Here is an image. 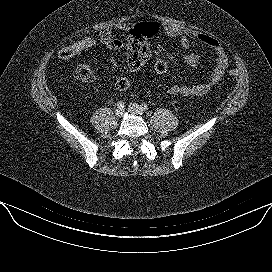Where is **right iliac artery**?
Wrapping results in <instances>:
<instances>
[{
	"instance_id": "right-iliac-artery-1",
	"label": "right iliac artery",
	"mask_w": 272,
	"mask_h": 272,
	"mask_svg": "<svg viewBox=\"0 0 272 272\" xmlns=\"http://www.w3.org/2000/svg\"><path fill=\"white\" fill-rule=\"evenodd\" d=\"M117 107L123 109L124 108V102L123 101H119L117 103Z\"/></svg>"
}]
</instances>
